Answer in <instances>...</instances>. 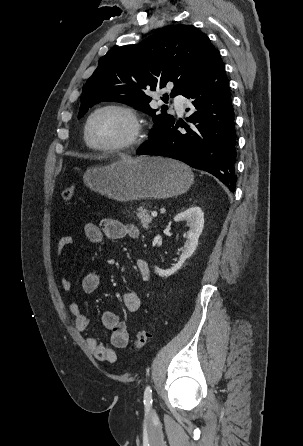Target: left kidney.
Here are the masks:
<instances>
[{"label": "left kidney", "instance_id": "left-kidney-1", "mask_svg": "<svg viewBox=\"0 0 303 446\" xmlns=\"http://www.w3.org/2000/svg\"><path fill=\"white\" fill-rule=\"evenodd\" d=\"M174 221H186L190 229L187 233V240L184 244L182 254L179 257V261L172 268L167 270H162L155 267V272L161 277H168L175 273L182 267L186 259L190 258L195 252L198 245L199 236L201 235L204 226V213L200 207L193 206L177 214Z\"/></svg>", "mask_w": 303, "mask_h": 446}]
</instances>
